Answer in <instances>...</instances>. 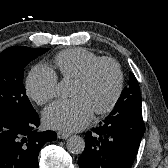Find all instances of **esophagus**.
<instances>
[{"instance_id":"1","label":"esophagus","mask_w":168,"mask_h":168,"mask_svg":"<svg viewBox=\"0 0 168 168\" xmlns=\"http://www.w3.org/2000/svg\"><path fill=\"white\" fill-rule=\"evenodd\" d=\"M57 136L59 139H67L70 136V134L65 133V132H58Z\"/></svg>"}]
</instances>
